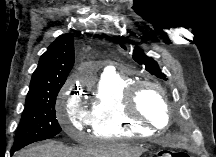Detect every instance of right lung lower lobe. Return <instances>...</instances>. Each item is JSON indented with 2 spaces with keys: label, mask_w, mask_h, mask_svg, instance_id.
<instances>
[{
  "label": "right lung lower lobe",
  "mask_w": 216,
  "mask_h": 157,
  "mask_svg": "<svg viewBox=\"0 0 216 157\" xmlns=\"http://www.w3.org/2000/svg\"><path fill=\"white\" fill-rule=\"evenodd\" d=\"M15 151L14 150H11V154H13Z\"/></svg>",
  "instance_id": "right-lung-lower-lobe-1"
}]
</instances>
